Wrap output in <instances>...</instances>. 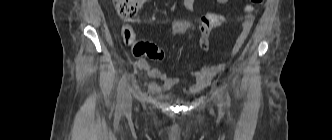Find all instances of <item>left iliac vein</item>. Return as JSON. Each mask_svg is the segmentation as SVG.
I'll return each instance as SVG.
<instances>
[{
    "instance_id": "1",
    "label": "left iliac vein",
    "mask_w": 332,
    "mask_h": 140,
    "mask_svg": "<svg viewBox=\"0 0 332 140\" xmlns=\"http://www.w3.org/2000/svg\"><path fill=\"white\" fill-rule=\"evenodd\" d=\"M218 106H219L220 109L223 108V100H222L221 97L218 98Z\"/></svg>"
}]
</instances>
